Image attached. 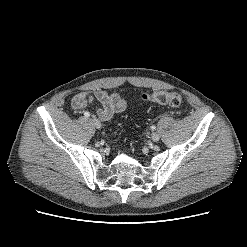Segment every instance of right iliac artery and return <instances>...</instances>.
<instances>
[{
	"mask_svg": "<svg viewBox=\"0 0 247 247\" xmlns=\"http://www.w3.org/2000/svg\"><path fill=\"white\" fill-rule=\"evenodd\" d=\"M84 116H85V117H89V116H90V113H89V112H85V113H84Z\"/></svg>",
	"mask_w": 247,
	"mask_h": 247,
	"instance_id": "82829eb1",
	"label": "right iliac artery"
}]
</instances>
